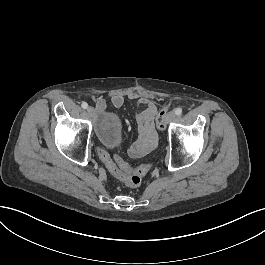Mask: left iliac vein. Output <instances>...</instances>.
I'll return each mask as SVG.
<instances>
[{
  "label": "left iliac vein",
  "mask_w": 265,
  "mask_h": 265,
  "mask_svg": "<svg viewBox=\"0 0 265 265\" xmlns=\"http://www.w3.org/2000/svg\"><path fill=\"white\" fill-rule=\"evenodd\" d=\"M176 118V114L173 111L168 112L163 119L164 125H168L171 121Z\"/></svg>",
  "instance_id": "4c4485c4"
}]
</instances>
